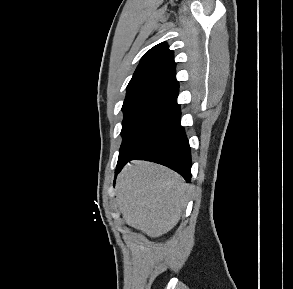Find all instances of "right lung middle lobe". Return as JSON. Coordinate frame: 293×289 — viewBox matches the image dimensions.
I'll use <instances>...</instances> for the list:
<instances>
[{
	"instance_id": "1",
	"label": "right lung middle lobe",
	"mask_w": 293,
	"mask_h": 289,
	"mask_svg": "<svg viewBox=\"0 0 293 289\" xmlns=\"http://www.w3.org/2000/svg\"><path fill=\"white\" fill-rule=\"evenodd\" d=\"M177 110V106L155 99L124 101L120 151L130 147L154 125Z\"/></svg>"
}]
</instances>
